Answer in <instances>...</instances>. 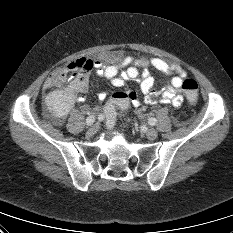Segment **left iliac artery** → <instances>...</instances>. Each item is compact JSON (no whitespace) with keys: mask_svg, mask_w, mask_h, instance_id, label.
<instances>
[{"mask_svg":"<svg viewBox=\"0 0 233 233\" xmlns=\"http://www.w3.org/2000/svg\"><path fill=\"white\" fill-rule=\"evenodd\" d=\"M156 122H157V120L155 118H150L148 121L149 125H151V126H154L156 124Z\"/></svg>","mask_w":233,"mask_h":233,"instance_id":"obj_1","label":"left iliac artery"}]
</instances>
